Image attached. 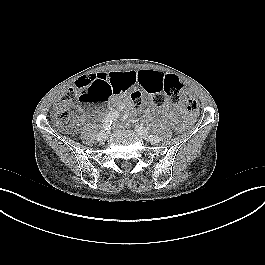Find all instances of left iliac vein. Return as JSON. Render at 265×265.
Instances as JSON below:
<instances>
[{
    "label": "left iliac vein",
    "mask_w": 265,
    "mask_h": 265,
    "mask_svg": "<svg viewBox=\"0 0 265 265\" xmlns=\"http://www.w3.org/2000/svg\"><path fill=\"white\" fill-rule=\"evenodd\" d=\"M135 131L138 133V135H140L142 138L146 139V140H149V133L148 131L143 128V127H140V126H135ZM154 142H157V141H154Z\"/></svg>",
    "instance_id": "obj_1"
}]
</instances>
